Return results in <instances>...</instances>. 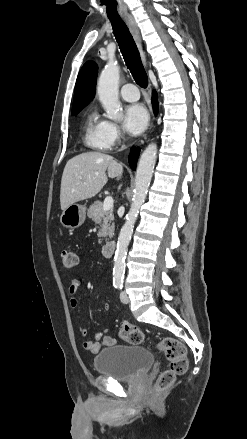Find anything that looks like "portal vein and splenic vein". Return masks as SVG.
Segmentation results:
<instances>
[{
    "mask_svg": "<svg viewBox=\"0 0 247 439\" xmlns=\"http://www.w3.org/2000/svg\"><path fill=\"white\" fill-rule=\"evenodd\" d=\"M113 207V198L111 196H107L103 203V210L108 211Z\"/></svg>",
    "mask_w": 247,
    "mask_h": 439,
    "instance_id": "portal-vein-and-splenic-vein-1",
    "label": "portal vein and splenic vein"
}]
</instances>
